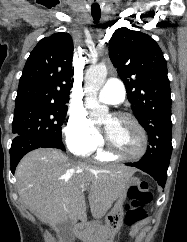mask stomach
<instances>
[{"instance_id":"1","label":"stomach","mask_w":187,"mask_h":242,"mask_svg":"<svg viewBox=\"0 0 187 242\" xmlns=\"http://www.w3.org/2000/svg\"><path fill=\"white\" fill-rule=\"evenodd\" d=\"M140 180L137 177H131L129 180L130 187H138ZM127 191L122 194L116 201L114 207L107 215L105 225H97L93 228L92 233L89 236L90 242H113L116 234L123 226L124 219V203L127 199Z\"/></svg>"}]
</instances>
